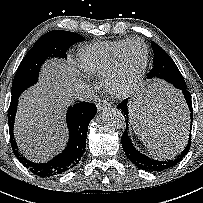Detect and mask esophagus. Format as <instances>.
Here are the masks:
<instances>
[{"mask_svg":"<svg viewBox=\"0 0 203 203\" xmlns=\"http://www.w3.org/2000/svg\"><path fill=\"white\" fill-rule=\"evenodd\" d=\"M110 105H111V103L107 102L106 100H101L97 104V109L99 112H101L104 109H106L107 107H109Z\"/></svg>","mask_w":203,"mask_h":203,"instance_id":"esophagus-1","label":"esophagus"}]
</instances>
